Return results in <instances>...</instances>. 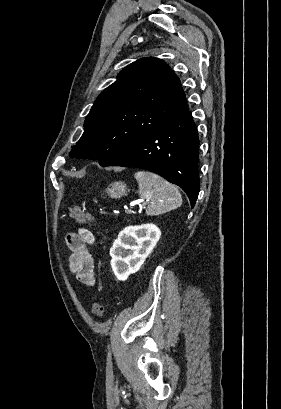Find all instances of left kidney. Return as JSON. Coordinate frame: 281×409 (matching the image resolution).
<instances>
[{
    "label": "left kidney",
    "instance_id": "5707ae66",
    "mask_svg": "<svg viewBox=\"0 0 281 409\" xmlns=\"http://www.w3.org/2000/svg\"><path fill=\"white\" fill-rule=\"evenodd\" d=\"M161 231L156 225L125 227L110 249L111 267L119 281L137 273L148 255L152 253Z\"/></svg>",
    "mask_w": 281,
    "mask_h": 409
}]
</instances>
